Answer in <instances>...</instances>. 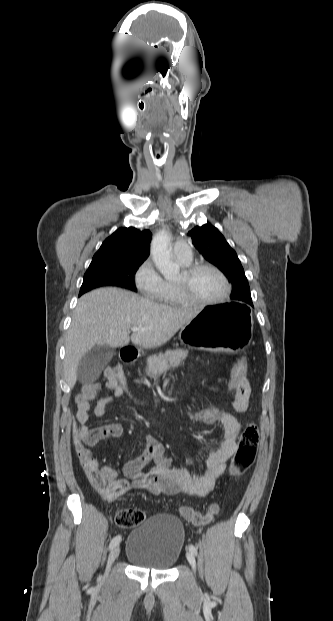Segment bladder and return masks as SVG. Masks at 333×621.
Listing matches in <instances>:
<instances>
[{
	"instance_id": "31cf9c89",
	"label": "bladder",
	"mask_w": 333,
	"mask_h": 621,
	"mask_svg": "<svg viewBox=\"0 0 333 621\" xmlns=\"http://www.w3.org/2000/svg\"><path fill=\"white\" fill-rule=\"evenodd\" d=\"M184 541V526L177 517L153 515L129 533L126 558L136 567L168 571L178 561Z\"/></svg>"
}]
</instances>
